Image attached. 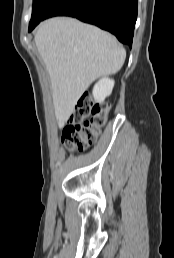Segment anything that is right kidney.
I'll list each match as a JSON object with an SVG mask.
<instances>
[{"mask_svg": "<svg viewBox=\"0 0 174 258\" xmlns=\"http://www.w3.org/2000/svg\"><path fill=\"white\" fill-rule=\"evenodd\" d=\"M114 80L104 77L93 88V97L96 102L102 103L112 93Z\"/></svg>", "mask_w": 174, "mask_h": 258, "instance_id": "1", "label": "right kidney"}]
</instances>
